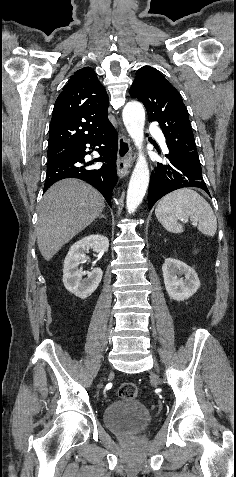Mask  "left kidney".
<instances>
[{
	"mask_svg": "<svg viewBox=\"0 0 236 477\" xmlns=\"http://www.w3.org/2000/svg\"><path fill=\"white\" fill-rule=\"evenodd\" d=\"M162 272L166 291L176 301L188 299L200 287L195 270L180 260L167 258L162 265ZM181 275H185V279L180 278Z\"/></svg>",
	"mask_w": 236,
	"mask_h": 477,
	"instance_id": "left-kidney-1",
	"label": "left kidney"
}]
</instances>
